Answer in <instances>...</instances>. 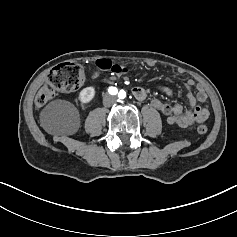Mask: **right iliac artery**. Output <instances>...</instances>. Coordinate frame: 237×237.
Wrapping results in <instances>:
<instances>
[{"mask_svg":"<svg viewBox=\"0 0 237 237\" xmlns=\"http://www.w3.org/2000/svg\"><path fill=\"white\" fill-rule=\"evenodd\" d=\"M109 93L112 94V95H115L117 94L118 90L116 87H109L108 89Z\"/></svg>","mask_w":237,"mask_h":237,"instance_id":"obj_1","label":"right iliac artery"}]
</instances>
